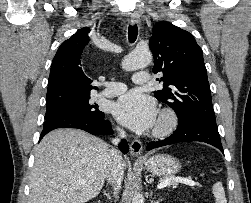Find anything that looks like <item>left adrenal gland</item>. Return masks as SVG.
Listing matches in <instances>:
<instances>
[{"label":"left adrenal gland","mask_w":251,"mask_h":203,"mask_svg":"<svg viewBox=\"0 0 251 203\" xmlns=\"http://www.w3.org/2000/svg\"><path fill=\"white\" fill-rule=\"evenodd\" d=\"M159 201H161V200H158V201H156V202L151 201V203H159Z\"/></svg>","instance_id":"1"}]
</instances>
